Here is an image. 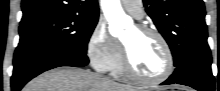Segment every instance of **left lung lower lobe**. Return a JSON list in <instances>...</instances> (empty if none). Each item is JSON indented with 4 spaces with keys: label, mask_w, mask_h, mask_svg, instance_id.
<instances>
[{
    "label": "left lung lower lobe",
    "mask_w": 220,
    "mask_h": 91,
    "mask_svg": "<svg viewBox=\"0 0 220 91\" xmlns=\"http://www.w3.org/2000/svg\"><path fill=\"white\" fill-rule=\"evenodd\" d=\"M212 57L204 55L188 61L175 69L174 73L161 85L182 84L198 91H214L215 79L211 71Z\"/></svg>",
    "instance_id": "left-lung-lower-lobe-1"
}]
</instances>
